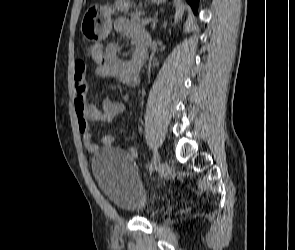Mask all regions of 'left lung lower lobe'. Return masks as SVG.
<instances>
[{"mask_svg":"<svg viewBox=\"0 0 295 250\" xmlns=\"http://www.w3.org/2000/svg\"><path fill=\"white\" fill-rule=\"evenodd\" d=\"M190 5L192 6L193 10L196 12L197 5H198V0H187Z\"/></svg>","mask_w":295,"mask_h":250,"instance_id":"0a47b994","label":"left lung lower lobe"}]
</instances>
